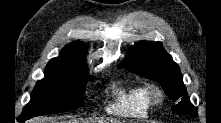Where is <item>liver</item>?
<instances>
[{
  "label": "liver",
  "mask_w": 221,
  "mask_h": 123,
  "mask_svg": "<svg viewBox=\"0 0 221 123\" xmlns=\"http://www.w3.org/2000/svg\"><path fill=\"white\" fill-rule=\"evenodd\" d=\"M49 121L50 120L48 118L39 117V118H34L31 120H28L27 123H49ZM107 121H108V123H125V122H121L120 120H114V119L107 120ZM52 123H54V122H52Z\"/></svg>",
  "instance_id": "liver-1"
}]
</instances>
